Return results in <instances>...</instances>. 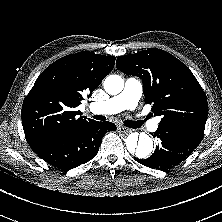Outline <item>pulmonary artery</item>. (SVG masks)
<instances>
[{"instance_id": "1", "label": "pulmonary artery", "mask_w": 222, "mask_h": 222, "mask_svg": "<svg viewBox=\"0 0 222 222\" xmlns=\"http://www.w3.org/2000/svg\"><path fill=\"white\" fill-rule=\"evenodd\" d=\"M142 95V84L136 78H128L121 93L103 102H96L90 105V109L96 114H115L127 109H134ZM138 121L147 125L150 130L155 131L158 126V120L141 116Z\"/></svg>"}]
</instances>
